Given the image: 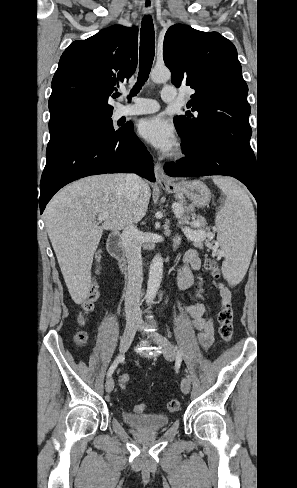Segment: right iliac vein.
<instances>
[{
	"instance_id": "right-iliac-vein-1",
	"label": "right iliac vein",
	"mask_w": 297,
	"mask_h": 488,
	"mask_svg": "<svg viewBox=\"0 0 297 488\" xmlns=\"http://www.w3.org/2000/svg\"><path fill=\"white\" fill-rule=\"evenodd\" d=\"M137 327H138V323L136 320H128L127 321L124 333H123L121 340H120V351L121 352H125L129 348V346H130V344L134 338L135 331H136ZM113 388H114L113 378L107 379L106 384H105L106 392L110 393L113 390Z\"/></svg>"
}]
</instances>
